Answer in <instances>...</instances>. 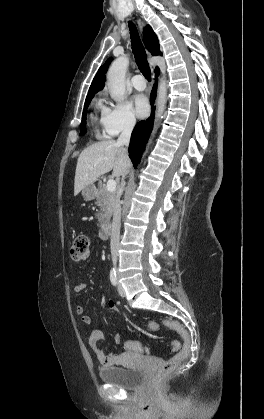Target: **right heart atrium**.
I'll list each match as a JSON object with an SVG mask.
<instances>
[{
  "instance_id": "obj_1",
  "label": "right heart atrium",
  "mask_w": 264,
  "mask_h": 419,
  "mask_svg": "<svg viewBox=\"0 0 264 419\" xmlns=\"http://www.w3.org/2000/svg\"><path fill=\"white\" fill-rule=\"evenodd\" d=\"M101 123L109 136L130 132L136 125L132 107L127 102L115 103L107 108L102 115Z\"/></svg>"
}]
</instances>
